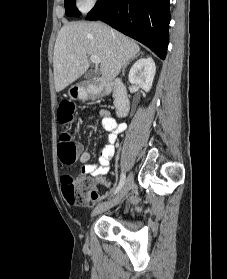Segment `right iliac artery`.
Listing matches in <instances>:
<instances>
[{
	"mask_svg": "<svg viewBox=\"0 0 227 279\" xmlns=\"http://www.w3.org/2000/svg\"><path fill=\"white\" fill-rule=\"evenodd\" d=\"M125 178H126L125 173H122L120 182H119L117 188L115 189L114 194L118 193L122 189V187L124 186V183H125Z\"/></svg>",
	"mask_w": 227,
	"mask_h": 279,
	"instance_id": "82829eb1",
	"label": "right iliac artery"
}]
</instances>
